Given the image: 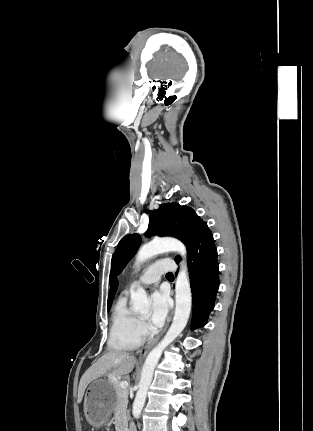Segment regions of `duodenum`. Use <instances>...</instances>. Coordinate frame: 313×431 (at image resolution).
Masks as SVG:
<instances>
[{"mask_svg": "<svg viewBox=\"0 0 313 431\" xmlns=\"http://www.w3.org/2000/svg\"><path fill=\"white\" fill-rule=\"evenodd\" d=\"M118 431H128V427L125 424H121L118 427Z\"/></svg>", "mask_w": 313, "mask_h": 431, "instance_id": "1", "label": "duodenum"}]
</instances>
